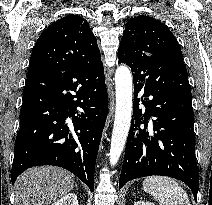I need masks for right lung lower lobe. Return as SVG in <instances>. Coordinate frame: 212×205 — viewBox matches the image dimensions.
<instances>
[{"label":"right lung lower lobe","instance_id":"obj_1","mask_svg":"<svg viewBox=\"0 0 212 205\" xmlns=\"http://www.w3.org/2000/svg\"><path fill=\"white\" fill-rule=\"evenodd\" d=\"M104 80L103 65L49 70L27 77L12 184L28 168L54 165L71 171L93 191L108 108Z\"/></svg>","mask_w":212,"mask_h":205}]
</instances>
